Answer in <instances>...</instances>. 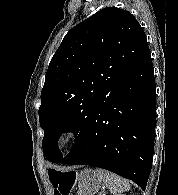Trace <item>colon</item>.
Segmentation results:
<instances>
[{
	"mask_svg": "<svg viewBox=\"0 0 178 195\" xmlns=\"http://www.w3.org/2000/svg\"><path fill=\"white\" fill-rule=\"evenodd\" d=\"M75 177L76 175L74 172L67 173V176L63 179V183L59 185V195H69Z\"/></svg>",
	"mask_w": 178,
	"mask_h": 195,
	"instance_id": "5ec220e1",
	"label": "colon"
}]
</instances>
